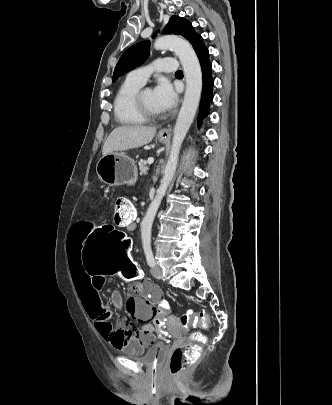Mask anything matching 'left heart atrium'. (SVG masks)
<instances>
[{"instance_id": "1", "label": "left heart atrium", "mask_w": 332, "mask_h": 405, "mask_svg": "<svg viewBox=\"0 0 332 405\" xmlns=\"http://www.w3.org/2000/svg\"><path fill=\"white\" fill-rule=\"evenodd\" d=\"M153 95L155 104L161 112L172 109L177 101V93L166 79H160L157 82Z\"/></svg>"}]
</instances>
